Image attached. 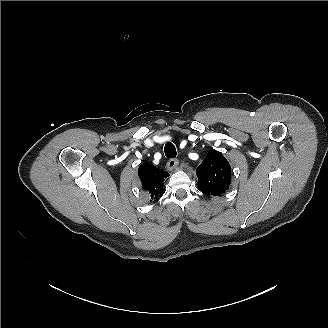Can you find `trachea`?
Here are the masks:
<instances>
[{"label":"trachea","mask_w":328,"mask_h":328,"mask_svg":"<svg viewBox=\"0 0 328 328\" xmlns=\"http://www.w3.org/2000/svg\"><path fill=\"white\" fill-rule=\"evenodd\" d=\"M164 152H165L166 157H168V158H174L177 155L176 147L171 142H167L165 144Z\"/></svg>","instance_id":"obj_1"}]
</instances>
